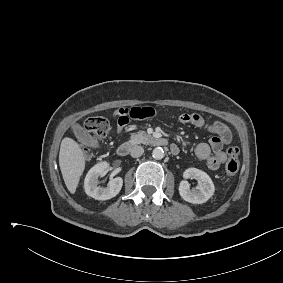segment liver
<instances>
[{"label": "liver", "mask_w": 283, "mask_h": 283, "mask_svg": "<svg viewBox=\"0 0 283 283\" xmlns=\"http://www.w3.org/2000/svg\"><path fill=\"white\" fill-rule=\"evenodd\" d=\"M59 166L67 189L74 194L85 169V156L80 145L72 138L65 137L61 142Z\"/></svg>", "instance_id": "6515ba94"}]
</instances>
